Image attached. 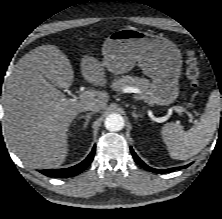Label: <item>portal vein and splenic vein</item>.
Masks as SVG:
<instances>
[{"mask_svg": "<svg viewBox=\"0 0 222 219\" xmlns=\"http://www.w3.org/2000/svg\"><path fill=\"white\" fill-rule=\"evenodd\" d=\"M125 91L128 92V93H139L140 92V90L136 87H128V88L125 89ZM95 94L96 93L94 91H84V92L80 93L79 98L95 96ZM172 109L174 111H176L177 113H179V114L185 113L190 118L191 122H193V123L196 122V120L194 119L193 114L191 112H189L187 109H185L181 106H177V105H173Z\"/></svg>", "mask_w": 222, "mask_h": 219, "instance_id": "1", "label": "portal vein and splenic vein"}]
</instances>
